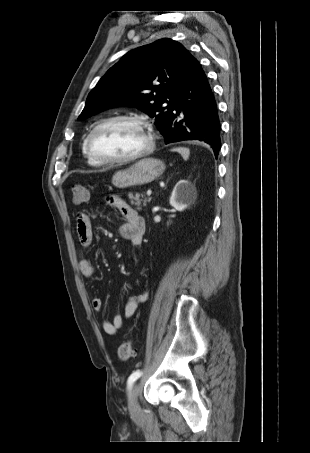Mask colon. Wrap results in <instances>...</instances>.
<instances>
[{"mask_svg": "<svg viewBox=\"0 0 310 453\" xmlns=\"http://www.w3.org/2000/svg\"><path fill=\"white\" fill-rule=\"evenodd\" d=\"M73 202L82 205L88 200V190L86 186L76 184L72 187ZM134 355V348L131 341L122 343L117 350V357L120 361H127Z\"/></svg>", "mask_w": 310, "mask_h": 453, "instance_id": "obj_1", "label": "colon"}]
</instances>
